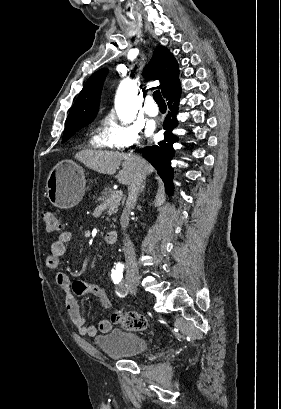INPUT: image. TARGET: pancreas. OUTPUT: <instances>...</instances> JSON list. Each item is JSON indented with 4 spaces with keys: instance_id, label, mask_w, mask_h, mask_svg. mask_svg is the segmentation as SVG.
<instances>
[{
    "instance_id": "cf45deb5",
    "label": "pancreas",
    "mask_w": 281,
    "mask_h": 409,
    "mask_svg": "<svg viewBox=\"0 0 281 409\" xmlns=\"http://www.w3.org/2000/svg\"><path fill=\"white\" fill-rule=\"evenodd\" d=\"M113 193L112 188H109V186H106L104 192H102L101 196H96L97 200H100V202H106L108 198H110V195ZM113 209L112 213H117L118 208H111ZM108 221V219H107Z\"/></svg>"
}]
</instances>
